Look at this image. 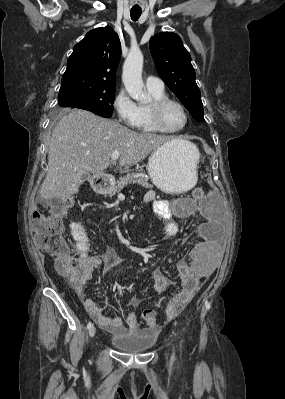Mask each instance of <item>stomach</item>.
<instances>
[{
	"label": "stomach",
	"mask_w": 285,
	"mask_h": 399,
	"mask_svg": "<svg viewBox=\"0 0 285 399\" xmlns=\"http://www.w3.org/2000/svg\"><path fill=\"white\" fill-rule=\"evenodd\" d=\"M199 157L193 143L169 141L152 152L147 171L156 187L169 194H180L196 184Z\"/></svg>",
	"instance_id": "0dacf381"
}]
</instances>
